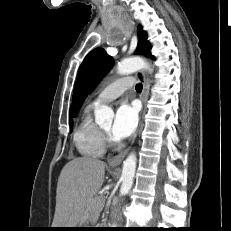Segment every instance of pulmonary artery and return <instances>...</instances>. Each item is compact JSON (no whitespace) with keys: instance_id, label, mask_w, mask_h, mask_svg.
<instances>
[{"instance_id":"obj_1","label":"pulmonary artery","mask_w":231,"mask_h":231,"mask_svg":"<svg viewBox=\"0 0 231 231\" xmlns=\"http://www.w3.org/2000/svg\"><path fill=\"white\" fill-rule=\"evenodd\" d=\"M134 80L130 76L122 77L107 85L91 103L93 106H99L108 103L124 93V91L133 86Z\"/></svg>"}]
</instances>
